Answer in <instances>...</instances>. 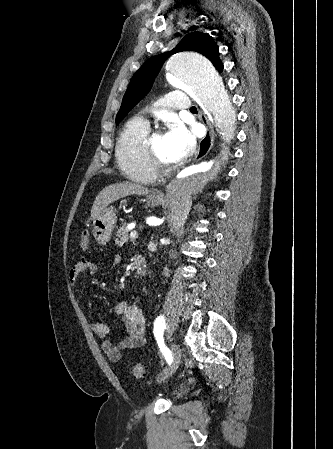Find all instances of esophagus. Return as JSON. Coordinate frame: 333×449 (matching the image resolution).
Instances as JSON below:
<instances>
[{
	"mask_svg": "<svg viewBox=\"0 0 333 449\" xmlns=\"http://www.w3.org/2000/svg\"><path fill=\"white\" fill-rule=\"evenodd\" d=\"M200 118H201L203 124L206 126V134L200 141L199 149H198V152L195 157L196 161L202 159L209 152V150L213 146L214 137H215L214 128H213L211 122L206 117V115L201 112ZM154 195L157 197H162L163 193L161 191L157 190L154 192Z\"/></svg>",
	"mask_w": 333,
	"mask_h": 449,
	"instance_id": "esophagus-1",
	"label": "esophagus"
}]
</instances>
